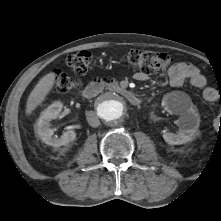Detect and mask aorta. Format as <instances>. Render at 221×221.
I'll return each mask as SVG.
<instances>
[{"label": "aorta", "mask_w": 221, "mask_h": 221, "mask_svg": "<svg viewBox=\"0 0 221 221\" xmlns=\"http://www.w3.org/2000/svg\"><path fill=\"white\" fill-rule=\"evenodd\" d=\"M96 110L102 121L108 124H115L125 117L127 103L120 95L107 93L99 99Z\"/></svg>", "instance_id": "aorta-1"}]
</instances>
